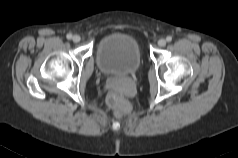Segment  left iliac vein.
I'll use <instances>...</instances> for the list:
<instances>
[{"label":"left iliac vein","mask_w":238,"mask_h":158,"mask_svg":"<svg viewBox=\"0 0 238 158\" xmlns=\"http://www.w3.org/2000/svg\"><path fill=\"white\" fill-rule=\"evenodd\" d=\"M158 45L160 46V47H164L165 45H166V40L165 39H160L159 41H158Z\"/></svg>","instance_id":"obj_1"}]
</instances>
